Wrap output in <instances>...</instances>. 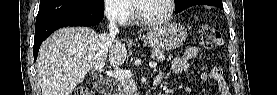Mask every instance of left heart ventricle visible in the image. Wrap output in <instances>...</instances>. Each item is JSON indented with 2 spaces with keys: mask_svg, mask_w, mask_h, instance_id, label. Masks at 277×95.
<instances>
[{
  "mask_svg": "<svg viewBox=\"0 0 277 95\" xmlns=\"http://www.w3.org/2000/svg\"><path fill=\"white\" fill-rule=\"evenodd\" d=\"M140 14L148 19L164 17L168 12L166 0H141L139 2Z\"/></svg>",
  "mask_w": 277,
  "mask_h": 95,
  "instance_id": "obj_1",
  "label": "left heart ventricle"
}]
</instances>
